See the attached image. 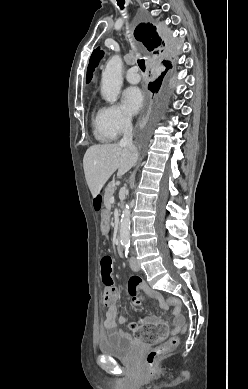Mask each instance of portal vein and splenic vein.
I'll return each mask as SVG.
<instances>
[{
    "mask_svg": "<svg viewBox=\"0 0 248 389\" xmlns=\"http://www.w3.org/2000/svg\"><path fill=\"white\" fill-rule=\"evenodd\" d=\"M110 202H111V204L114 203V197H111V198H110Z\"/></svg>",
    "mask_w": 248,
    "mask_h": 389,
    "instance_id": "obj_1",
    "label": "portal vein and splenic vein"
}]
</instances>
